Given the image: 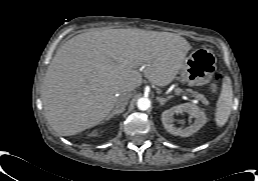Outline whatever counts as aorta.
I'll return each instance as SVG.
<instances>
[{
  "mask_svg": "<svg viewBox=\"0 0 258 181\" xmlns=\"http://www.w3.org/2000/svg\"><path fill=\"white\" fill-rule=\"evenodd\" d=\"M150 100L148 98L142 97L137 101V107L139 110L145 111L150 107Z\"/></svg>",
  "mask_w": 258,
  "mask_h": 181,
  "instance_id": "aorta-1",
  "label": "aorta"
}]
</instances>
